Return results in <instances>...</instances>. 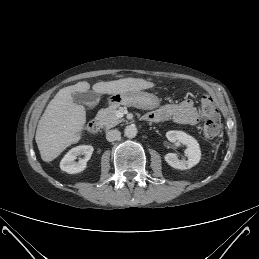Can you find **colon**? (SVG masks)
<instances>
[{
    "instance_id": "obj_1",
    "label": "colon",
    "mask_w": 259,
    "mask_h": 259,
    "mask_svg": "<svg viewBox=\"0 0 259 259\" xmlns=\"http://www.w3.org/2000/svg\"><path fill=\"white\" fill-rule=\"evenodd\" d=\"M202 106L204 111L208 114L203 124V134L206 138L213 139L217 137L220 132V125L216 117L217 110L212 99L208 96L203 97Z\"/></svg>"
}]
</instances>
